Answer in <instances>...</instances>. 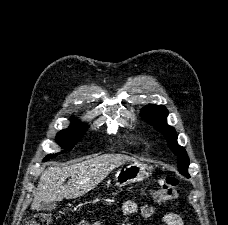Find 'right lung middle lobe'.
I'll list each match as a JSON object with an SVG mask.
<instances>
[{
  "mask_svg": "<svg viewBox=\"0 0 228 225\" xmlns=\"http://www.w3.org/2000/svg\"><path fill=\"white\" fill-rule=\"evenodd\" d=\"M87 127L81 123H72L67 129L60 131L56 140L62 147L73 148L74 144L81 139L86 131ZM56 157V154L47 155L43 161H47L50 158Z\"/></svg>",
  "mask_w": 228,
  "mask_h": 225,
  "instance_id": "dd1d6c3e",
  "label": "right lung middle lobe"
}]
</instances>
